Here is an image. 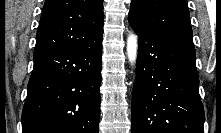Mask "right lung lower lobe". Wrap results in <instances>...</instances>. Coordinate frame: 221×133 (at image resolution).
Returning a JSON list of instances; mask_svg holds the SVG:
<instances>
[{"mask_svg":"<svg viewBox=\"0 0 221 133\" xmlns=\"http://www.w3.org/2000/svg\"><path fill=\"white\" fill-rule=\"evenodd\" d=\"M102 40L34 54L22 133H98Z\"/></svg>","mask_w":221,"mask_h":133,"instance_id":"obj_1","label":"right lung lower lobe"}]
</instances>
